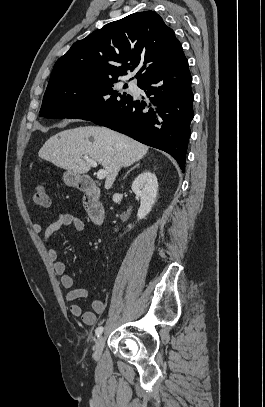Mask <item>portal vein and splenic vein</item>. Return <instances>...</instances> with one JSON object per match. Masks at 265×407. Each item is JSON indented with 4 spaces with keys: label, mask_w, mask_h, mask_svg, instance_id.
I'll return each mask as SVG.
<instances>
[{
    "label": "portal vein and splenic vein",
    "mask_w": 265,
    "mask_h": 407,
    "mask_svg": "<svg viewBox=\"0 0 265 407\" xmlns=\"http://www.w3.org/2000/svg\"><path fill=\"white\" fill-rule=\"evenodd\" d=\"M83 159H84L90 166H92V167H97V162H96L95 160L89 158L88 156H83ZM106 175H107V172H106V170H104V169H100V170L97 172V178H98L99 180L104 179V178L106 177Z\"/></svg>",
    "instance_id": "18ae733b"
}]
</instances>
